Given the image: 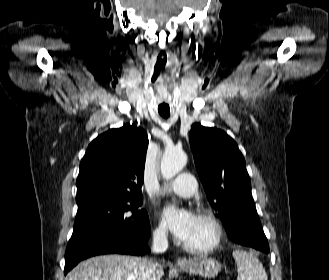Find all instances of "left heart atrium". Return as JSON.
Returning <instances> with one entry per match:
<instances>
[{
    "instance_id": "obj_1",
    "label": "left heart atrium",
    "mask_w": 329,
    "mask_h": 280,
    "mask_svg": "<svg viewBox=\"0 0 329 280\" xmlns=\"http://www.w3.org/2000/svg\"><path fill=\"white\" fill-rule=\"evenodd\" d=\"M163 223L181 241H186L195 224L196 215L189 209L166 206L161 214Z\"/></svg>"
}]
</instances>
